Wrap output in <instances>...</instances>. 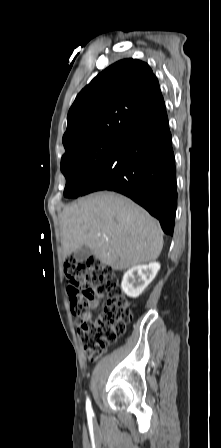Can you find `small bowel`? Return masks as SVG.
Instances as JSON below:
<instances>
[{
    "label": "small bowel",
    "instance_id": "small-bowel-1",
    "mask_svg": "<svg viewBox=\"0 0 221 448\" xmlns=\"http://www.w3.org/2000/svg\"><path fill=\"white\" fill-rule=\"evenodd\" d=\"M98 304H99L98 300H95L92 304V309H96L98 307Z\"/></svg>",
    "mask_w": 221,
    "mask_h": 448
}]
</instances>
